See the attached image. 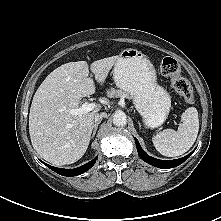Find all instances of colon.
Listing matches in <instances>:
<instances>
[{
    "instance_id": "obj_1",
    "label": "colon",
    "mask_w": 221,
    "mask_h": 221,
    "mask_svg": "<svg viewBox=\"0 0 221 221\" xmlns=\"http://www.w3.org/2000/svg\"><path fill=\"white\" fill-rule=\"evenodd\" d=\"M160 71L162 75L171 80L173 88L186 103H192L194 101L192 86L187 79L181 76V67L176 59L172 57L163 58Z\"/></svg>"
}]
</instances>
